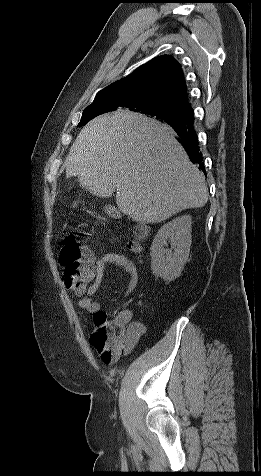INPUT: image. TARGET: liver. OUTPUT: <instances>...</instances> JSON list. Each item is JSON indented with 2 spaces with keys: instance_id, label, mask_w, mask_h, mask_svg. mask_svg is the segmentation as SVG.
Returning <instances> with one entry per match:
<instances>
[{
  "instance_id": "obj_1",
  "label": "liver",
  "mask_w": 261,
  "mask_h": 476,
  "mask_svg": "<svg viewBox=\"0 0 261 476\" xmlns=\"http://www.w3.org/2000/svg\"><path fill=\"white\" fill-rule=\"evenodd\" d=\"M66 176L99 197L116 192L118 209L134 221L159 223L208 200L205 176L173 131L144 115L116 111L91 120L66 158Z\"/></svg>"
}]
</instances>
